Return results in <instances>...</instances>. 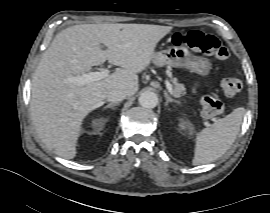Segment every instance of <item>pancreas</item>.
<instances>
[{
  "instance_id": "1",
  "label": "pancreas",
  "mask_w": 270,
  "mask_h": 213,
  "mask_svg": "<svg viewBox=\"0 0 270 213\" xmlns=\"http://www.w3.org/2000/svg\"><path fill=\"white\" fill-rule=\"evenodd\" d=\"M171 81L174 87L173 91H174L175 97H181L182 95H184L185 86L183 84L178 83L176 78H172Z\"/></svg>"
}]
</instances>
